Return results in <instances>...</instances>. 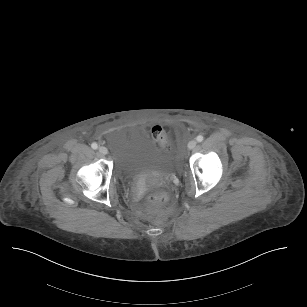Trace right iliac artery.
<instances>
[{
    "instance_id": "obj_1",
    "label": "right iliac artery",
    "mask_w": 307,
    "mask_h": 307,
    "mask_svg": "<svg viewBox=\"0 0 307 307\" xmlns=\"http://www.w3.org/2000/svg\"><path fill=\"white\" fill-rule=\"evenodd\" d=\"M91 147H92L93 149H97V148H98V145H97V143L94 142V143L91 144Z\"/></svg>"
}]
</instances>
